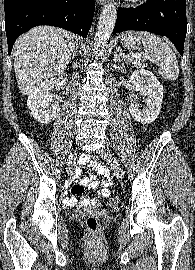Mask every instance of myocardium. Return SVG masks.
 Segmentation results:
<instances>
[{
	"instance_id": "obj_1",
	"label": "myocardium",
	"mask_w": 195,
	"mask_h": 270,
	"mask_svg": "<svg viewBox=\"0 0 195 270\" xmlns=\"http://www.w3.org/2000/svg\"><path fill=\"white\" fill-rule=\"evenodd\" d=\"M126 1H129V2H132V3H137V2H140L142 0H126Z\"/></svg>"
}]
</instances>
